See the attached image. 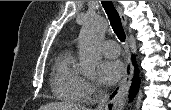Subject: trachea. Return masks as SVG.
<instances>
[{
    "instance_id": "trachea-1",
    "label": "trachea",
    "mask_w": 171,
    "mask_h": 110,
    "mask_svg": "<svg viewBox=\"0 0 171 110\" xmlns=\"http://www.w3.org/2000/svg\"><path fill=\"white\" fill-rule=\"evenodd\" d=\"M101 3L108 16V19L110 21L114 33L117 35L118 39L121 42H124L126 39V35L121 23L120 16L117 10L115 9L112 1H101Z\"/></svg>"
}]
</instances>
